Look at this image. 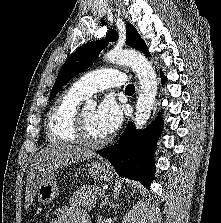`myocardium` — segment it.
<instances>
[{
  "mask_svg": "<svg viewBox=\"0 0 221 223\" xmlns=\"http://www.w3.org/2000/svg\"><path fill=\"white\" fill-rule=\"evenodd\" d=\"M73 133L82 145L90 148H97L104 146L109 142L108 137H104L102 139H92L88 136L87 125L85 122V118L82 113H77L76 123L73 127Z\"/></svg>",
  "mask_w": 221,
  "mask_h": 223,
  "instance_id": "1",
  "label": "myocardium"
}]
</instances>
